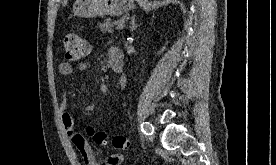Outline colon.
<instances>
[{
  "label": "colon",
  "mask_w": 276,
  "mask_h": 165,
  "mask_svg": "<svg viewBox=\"0 0 276 165\" xmlns=\"http://www.w3.org/2000/svg\"><path fill=\"white\" fill-rule=\"evenodd\" d=\"M63 44L64 62L66 63H76L87 53V43L76 32L67 33L64 37ZM89 132L92 134L93 130L90 129ZM94 140L98 144L109 141L111 146L118 151L125 150L129 147V140L123 135H114L109 139L105 133L99 132L94 134Z\"/></svg>",
  "instance_id": "colon-1"
}]
</instances>
